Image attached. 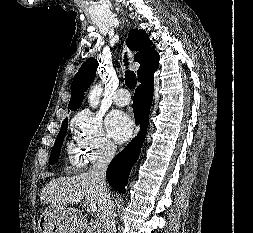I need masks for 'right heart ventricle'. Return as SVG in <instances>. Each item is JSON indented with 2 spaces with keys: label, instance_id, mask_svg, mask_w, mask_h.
Here are the masks:
<instances>
[{
  "label": "right heart ventricle",
  "instance_id": "obj_1",
  "mask_svg": "<svg viewBox=\"0 0 253 233\" xmlns=\"http://www.w3.org/2000/svg\"><path fill=\"white\" fill-rule=\"evenodd\" d=\"M68 162L69 164L76 169L82 168L86 159L80 149V147L72 142L67 146Z\"/></svg>",
  "mask_w": 253,
  "mask_h": 233
}]
</instances>
